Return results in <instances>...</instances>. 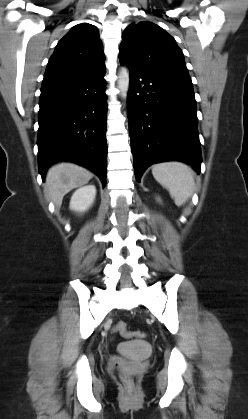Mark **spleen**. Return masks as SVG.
I'll use <instances>...</instances> for the list:
<instances>
[{
    "instance_id": "obj_1",
    "label": "spleen",
    "mask_w": 248,
    "mask_h": 419,
    "mask_svg": "<svg viewBox=\"0 0 248 419\" xmlns=\"http://www.w3.org/2000/svg\"><path fill=\"white\" fill-rule=\"evenodd\" d=\"M157 182L167 188L177 206H182L194 190V175L189 166L181 162H164L152 168Z\"/></svg>"
}]
</instances>
